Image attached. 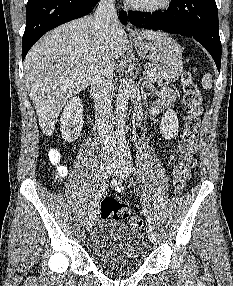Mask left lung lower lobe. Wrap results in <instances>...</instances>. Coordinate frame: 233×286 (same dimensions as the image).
<instances>
[{"instance_id": "0a47b994", "label": "left lung lower lobe", "mask_w": 233, "mask_h": 286, "mask_svg": "<svg viewBox=\"0 0 233 286\" xmlns=\"http://www.w3.org/2000/svg\"><path fill=\"white\" fill-rule=\"evenodd\" d=\"M130 22L140 28L192 37L221 65L218 10L215 0H171L165 12H130Z\"/></svg>"}]
</instances>
